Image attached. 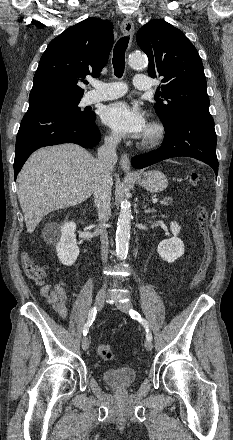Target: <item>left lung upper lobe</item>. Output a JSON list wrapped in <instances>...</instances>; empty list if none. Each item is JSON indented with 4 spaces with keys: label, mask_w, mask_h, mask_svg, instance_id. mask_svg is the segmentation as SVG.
<instances>
[{
    "label": "left lung upper lobe",
    "mask_w": 233,
    "mask_h": 440,
    "mask_svg": "<svg viewBox=\"0 0 233 440\" xmlns=\"http://www.w3.org/2000/svg\"><path fill=\"white\" fill-rule=\"evenodd\" d=\"M137 43L149 59L148 74L160 77L166 103L154 108L164 124L171 128L187 111L209 112V97L201 58L184 33L163 20H152L137 33Z\"/></svg>",
    "instance_id": "obj_1"
}]
</instances>
